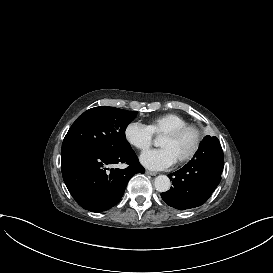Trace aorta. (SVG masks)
Segmentation results:
<instances>
[{
	"label": "aorta",
	"instance_id": "aorta-1",
	"mask_svg": "<svg viewBox=\"0 0 273 273\" xmlns=\"http://www.w3.org/2000/svg\"><path fill=\"white\" fill-rule=\"evenodd\" d=\"M154 186L158 192H167L171 187V182L166 175H159L155 178Z\"/></svg>",
	"mask_w": 273,
	"mask_h": 273
}]
</instances>
